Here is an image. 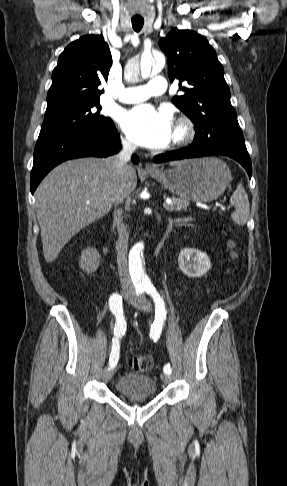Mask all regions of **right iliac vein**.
Masks as SVG:
<instances>
[{
	"label": "right iliac vein",
	"instance_id": "1",
	"mask_svg": "<svg viewBox=\"0 0 287 486\" xmlns=\"http://www.w3.org/2000/svg\"><path fill=\"white\" fill-rule=\"evenodd\" d=\"M122 294H123L124 298H126V299H129L131 297V295H132V293L130 291H124ZM112 375H113L112 374V371L105 368L104 371H103V373H102V379L105 382H108V381L111 380Z\"/></svg>",
	"mask_w": 287,
	"mask_h": 486
}]
</instances>
